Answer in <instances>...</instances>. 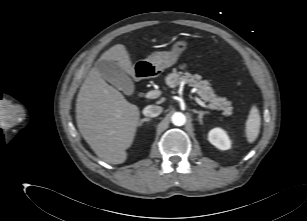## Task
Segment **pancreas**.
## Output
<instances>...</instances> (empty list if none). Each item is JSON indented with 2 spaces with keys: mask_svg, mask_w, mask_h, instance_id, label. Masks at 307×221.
I'll return each mask as SVG.
<instances>
[{
  "mask_svg": "<svg viewBox=\"0 0 307 221\" xmlns=\"http://www.w3.org/2000/svg\"><path fill=\"white\" fill-rule=\"evenodd\" d=\"M182 82L188 84V86L196 88L197 94L205 102H209V106L212 109L222 110L223 114L228 116L232 113L231 101L224 97H219L215 94L213 88L209 85V82L202 80V76L199 74H190L188 72L182 73L177 72L176 70L173 73H170L166 77V84L175 88L180 85Z\"/></svg>",
  "mask_w": 307,
  "mask_h": 221,
  "instance_id": "cf45deb5",
  "label": "pancreas"
}]
</instances>
